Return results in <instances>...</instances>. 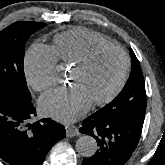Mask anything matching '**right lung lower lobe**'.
I'll return each mask as SVG.
<instances>
[{
	"label": "right lung lower lobe",
	"instance_id": "98d812e1",
	"mask_svg": "<svg viewBox=\"0 0 165 165\" xmlns=\"http://www.w3.org/2000/svg\"><path fill=\"white\" fill-rule=\"evenodd\" d=\"M36 116L31 100L0 93V158L10 165H40L51 147L65 137V128L45 118L30 124Z\"/></svg>",
	"mask_w": 165,
	"mask_h": 165
}]
</instances>
